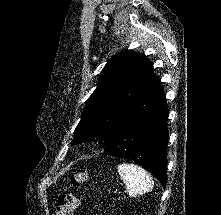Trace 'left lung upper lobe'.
<instances>
[{"label": "left lung upper lobe", "instance_id": "left-lung-upper-lobe-1", "mask_svg": "<svg viewBox=\"0 0 221 215\" xmlns=\"http://www.w3.org/2000/svg\"><path fill=\"white\" fill-rule=\"evenodd\" d=\"M155 78L153 66L145 56L128 50L113 56L86 102L72 144L95 139L106 147L116 125Z\"/></svg>", "mask_w": 221, "mask_h": 215}]
</instances>
